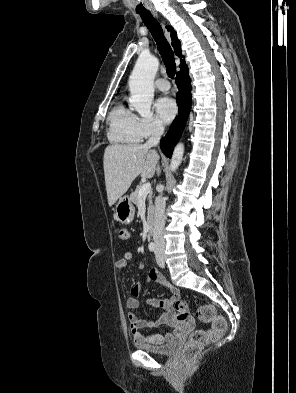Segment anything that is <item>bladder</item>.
<instances>
[{
  "mask_svg": "<svg viewBox=\"0 0 296 393\" xmlns=\"http://www.w3.org/2000/svg\"><path fill=\"white\" fill-rule=\"evenodd\" d=\"M177 346V342L172 340L169 343L161 346V347H152L150 345L147 344H138V348L140 350L146 351L148 353L151 354H155V355H162V356H167L172 354V352L175 350Z\"/></svg>",
  "mask_w": 296,
  "mask_h": 393,
  "instance_id": "bladder-1",
  "label": "bladder"
}]
</instances>
